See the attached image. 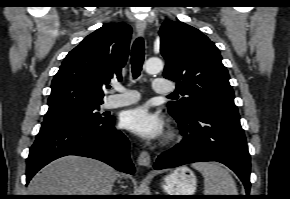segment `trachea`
I'll list each match as a JSON object with an SVG mask.
<instances>
[{
  "label": "trachea",
  "instance_id": "obj_1",
  "mask_svg": "<svg viewBox=\"0 0 290 199\" xmlns=\"http://www.w3.org/2000/svg\"><path fill=\"white\" fill-rule=\"evenodd\" d=\"M144 56V41L141 37H139L134 41L131 52V67L134 79L140 76L142 65L144 62Z\"/></svg>",
  "mask_w": 290,
  "mask_h": 199
}]
</instances>
